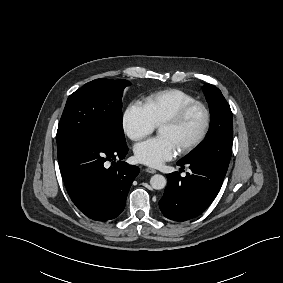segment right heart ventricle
<instances>
[{
	"label": "right heart ventricle",
	"mask_w": 283,
	"mask_h": 283,
	"mask_svg": "<svg viewBox=\"0 0 283 283\" xmlns=\"http://www.w3.org/2000/svg\"><path fill=\"white\" fill-rule=\"evenodd\" d=\"M194 100L195 98L188 92L171 88L148 95L144 105L155 125H159L182 106Z\"/></svg>",
	"instance_id": "1"
}]
</instances>
